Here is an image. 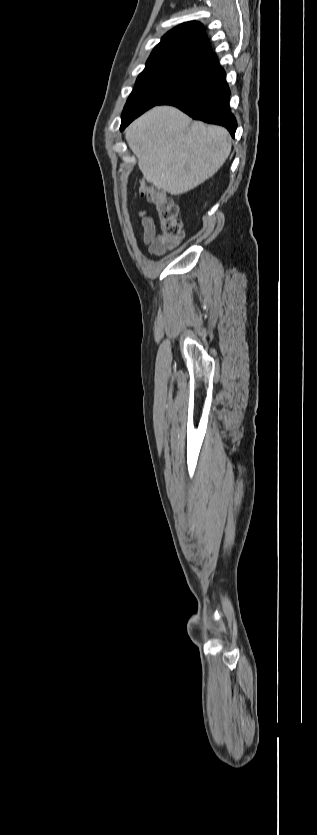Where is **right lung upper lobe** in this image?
<instances>
[{"instance_id":"right-lung-upper-lobe-1","label":"right lung upper lobe","mask_w":317,"mask_h":835,"mask_svg":"<svg viewBox=\"0 0 317 835\" xmlns=\"http://www.w3.org/2000/svg\"><path fill=\"white\" fill-rule=\"evenodd\" d=\"M207 53H211V47L202 24L195 21L183 23L162 37L145 69Z\"/></svg>"}]
</instances>
